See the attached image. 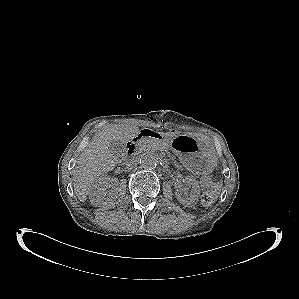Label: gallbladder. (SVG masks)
I'll return each mask as SVG.
<instances>
[{"mask_svg": "<svg viewBox=\"0 0 299 299\" xmlns=\"http://www.w3.org/2000/svg\"><path fill=\"white\" fill-rule=\"evenodd\" d=\"M109 150L115 156H119V157L124 156L125 144L121 141H112V143L109 146Z\"/></svg>", "mask_w": 299, "mask_h": 299, "instance_id": "1", "label": "gallbladder"}]
</instances>
